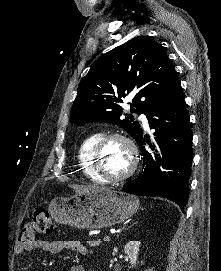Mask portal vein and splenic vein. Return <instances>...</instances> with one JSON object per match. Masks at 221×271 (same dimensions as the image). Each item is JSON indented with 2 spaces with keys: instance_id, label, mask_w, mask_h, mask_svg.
Instances as JSON below:
<instances>
[{
  "instance_id": "18ae733b",
  "label": "portal vein and splenic vein",
  "mask_w": 221,
  "mask_h": 271,
  "mask_svg": "<svg viewBox=\"0 0 221 271\" xmlns=\"http://www.w3.org/2000/svg\"><path fill=\"white\" fill-rule=\"evenodd\" d=\"M103 240H110L111 239V236L110 235H103Z\"/></svg>"
}]
</instances>
